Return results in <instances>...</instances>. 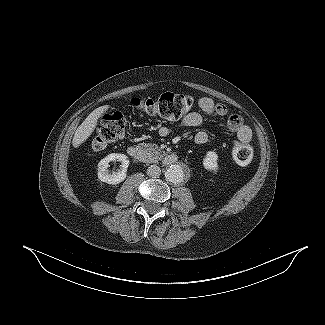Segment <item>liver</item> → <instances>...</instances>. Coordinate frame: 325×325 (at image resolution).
Returning a JSON list of instances; mask_svg holds the SVG:
<instances>
[{
  "label": "liver",
  "instance_id": "6515ba94",
  "mask_svg": "<svg viewBox=\"0 0 325 325\" xmlns=\"http://www.w3.org/2000/svg\"><path fill=\"white\" fill-rule=\"evenodd\" d=\"M109 109L108 105L101 106L91 112L82 124L77 128L73 137V147L78 148L93 133L97 126L98 119Z\"/></svg>",
  "mask_w": 325,
  "mask_h": 325
}]
</instances>
